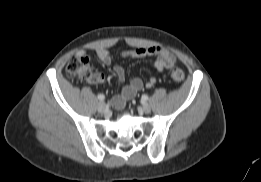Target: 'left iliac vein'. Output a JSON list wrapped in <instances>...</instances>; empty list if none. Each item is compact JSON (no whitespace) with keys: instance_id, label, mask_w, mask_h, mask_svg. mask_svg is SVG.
Instances as JSON below:
<instances>
[{"instance_id":"4c4485c4","label":"left iliac vein","mask_w":261,"mask_h":182,"mask_svg":"<svg viewBox=\"0 0 261 182\" xmlns=\"http://www.w3.org/2000/svg\"><path fill=\"white\" fill-rule=\"evenodd\" d=\"M142 110L144 113L148 114L151 112V107L147 103H145L142 105Z\"/></svg>"}]
</instances>
